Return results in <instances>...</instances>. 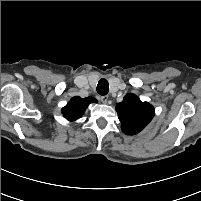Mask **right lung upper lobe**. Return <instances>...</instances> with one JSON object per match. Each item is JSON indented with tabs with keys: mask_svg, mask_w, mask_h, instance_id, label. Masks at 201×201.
Returning <instances> with one entry per match:
<instances>
[{
	"mask_svg": "<svg viewBox=\"0 0 201 201\" xmlns=\"http://www.w3.org/2000/svg\"><path fill=\"white\" fill-rule=\"evenodd\" d=\"M97 100L93 97L80 98L78 96L73 97L65 107L62 108V114L69 121L77 120L82 117L86 108L90 103H96Z\"/></svg>",
	"mask_w": 201,
	"mask_h": 201,
	"instance_id": "obj_1",
	"label": "right lung upper lobe"
}]
</instances>
